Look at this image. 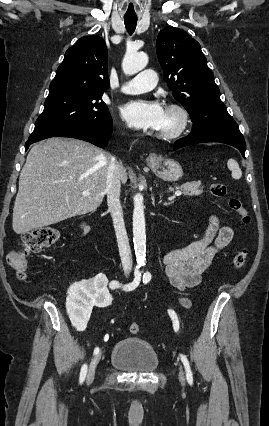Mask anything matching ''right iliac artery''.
Returning <instances> with one entry per match:
<instances>
[{"label": "right iliac artery", "instance_id": "1", "mask_svg": "<svg viewBox=\"0 0 269 426\" xmlns=\"http://www.w3.org/2000/svg\"><path fill=\"white\" fill-rule=\"evenodd\" d=\"M134 275H135V278H134L133 282L123 286V288L126 289L127 291L134 290L139 285V283L141 281V273L138 269L135 270ZM110 287L114 289V288L119 287V284H118L117 281H112L110 283ZM97 353H99L98 347H96L94 349V354L96 355ZM86 374H87V365L84 364L81 368V371H80V377H79L80 383H83V381L86 378Z\"/></svg>", "mask_w": 269, "mask_h": 426}]
</instances>
